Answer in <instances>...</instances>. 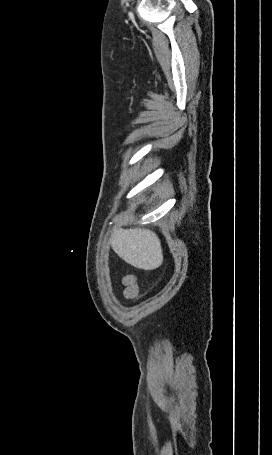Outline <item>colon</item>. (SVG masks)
Masks as SVG:
<instances>
[{"instance_id":"colon-1","label":"colon","mask_w":272,"mask_h":455,"mask_svg":"<svg viewBox=\"0 0 272 455\" xmlns=\"http://www.w3.org/2000/svg\"><path fill=\"white\" fill-rule=\"evenodd\" d=\"M123 284L125 286L124 294L127 298H133L137 295V285L134 276H125L123 279Z\"/></svg>"}]
</instances>
